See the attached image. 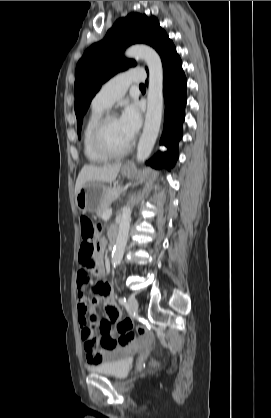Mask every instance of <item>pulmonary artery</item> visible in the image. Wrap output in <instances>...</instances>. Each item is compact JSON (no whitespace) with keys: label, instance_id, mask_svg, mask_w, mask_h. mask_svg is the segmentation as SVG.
Instances as JSON below:
<instances>
[{"label":"pulmonary artery","instance_id":"obj_1","mask_svg":"<svg viewBox=\"0 0 271 418\" xmlns=\"http://www.w3.org/2000/svg\"><path fill=\"white\" fill-rule=\"evenodd\" d=\"M145 79L142 69L121 72L107 81L92 100V105L104 109L110 108L122 98L131 83H140Z\"/></svg>","mask_w":271,"mask_h":418}]
</instances>
